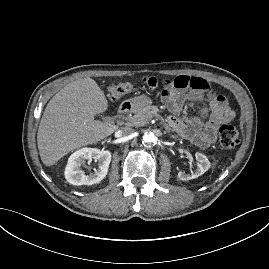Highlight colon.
I'll return each mask as SVG.
<instances>
[{
	"mask_svg": "<svg viewBox=\"0 0 269 269\" xmlns=\"http://www.w3.org/2000/svg\"><path fill=\"white\" fill-rule=\"evenodd\" d=\"M149 80V79H148ZM148 83V81H147ZM133 90V85L130 82H122L117 84H111L108 87L109 96L112 99H119ZM172 94V93H170ZM167 95L166 97L170 96ZM238 132L232 125L224 124L219 129V142L224 149H232L238 144Z\"/></svg>",
	"mask_w": 269,
	"mask_h": 269,
	"instance_id": "5ec220e1",
	"label": "colon"
}]
</instances>
